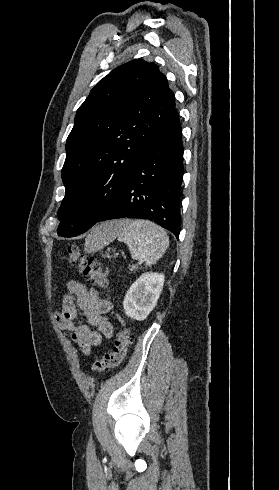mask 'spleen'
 Returning <instances> with one entry per match:
<instances>
[{
	"mask_svg": "<svg viewBox=\"0 0 279 490\" xmlns=\"http://www.w3.org/2000/svg\"><path fill=\"white\" fill-rule=\"evenodd\" d=\"M118 236L119 242H124L129 248L131 258L145 262V266L156 264L164 256L169 238L160 226L149 220H114L111 232H103L102 228H95L87 242L88 252H98L108 246Z\"/></svg>",
	"mask_w": 279,
	"mask_h": 490,
	"instance_id": "spleen-1",
	"label": "spleen"
}]
</instances>
